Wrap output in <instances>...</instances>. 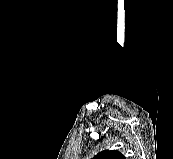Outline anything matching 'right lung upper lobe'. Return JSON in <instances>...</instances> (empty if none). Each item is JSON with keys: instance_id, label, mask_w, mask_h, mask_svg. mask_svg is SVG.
Segmentation results:
<instances>
[{"instance_id": "obj_1", "label": "right lung upper lobe", "mask_w": 173, "mask_h": 159, "mask_svg": "<svg viewBox=\"0 0 173 159\" xmlns=\"http://www.w3.org/2000/svg\"><path fill=\"white\" fill-rule=\"evenodd\" d=\"M93 159H126V158L119 151L106 150L97 154Z\"/></svg>"}]
</instances>
